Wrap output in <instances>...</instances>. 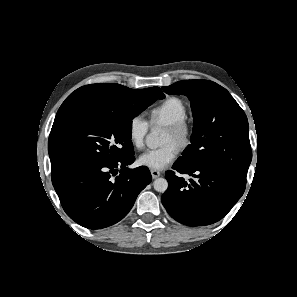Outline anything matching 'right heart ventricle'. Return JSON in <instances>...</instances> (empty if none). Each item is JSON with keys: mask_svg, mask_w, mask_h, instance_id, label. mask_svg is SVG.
I'll return each mask as SVG.
<instances>
[{"mask_svg": "<svg viewBox=\"0 0 297 297\" xmlns=\"http://www.w3.org/2000/svg\"><path fill=\"white\" fill-rule=\"evenodd\" d=\"M149 122L151 125H171L185 120L187 106L179 97L169 96L149 110Z\"/></svg>", "mask_w": 297, "mask_h": 297, "instance_id": "1", "label": "right heart ventricle"}]
</instances>
